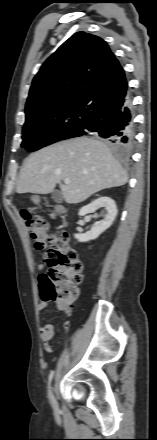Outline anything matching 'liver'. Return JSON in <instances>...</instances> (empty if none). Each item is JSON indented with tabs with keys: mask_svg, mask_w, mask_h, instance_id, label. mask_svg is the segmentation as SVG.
Segmentation results:
<instances>
[{
	"mask_svg": "<svg viewBox=\"0 0 157 440\" xmlns=\"http://www.w3.org/2000/svg\"><path fill=\"white\" fill-rule=\"evenodd\" d=\"M65 179H70V183L63 184ZM127 181V172L106 144L95 138L78 137L29 155L22 165L16 191L48 194L59 184L64 200L77 204Z\"/></svg>",
	"mask_w": 157,
	"mask_h": 440,
	"instance_id": "liver-1",
	"label": "liver"
}]
</instances>
